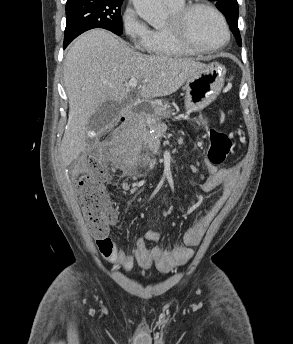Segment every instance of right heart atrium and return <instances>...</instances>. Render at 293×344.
Returning <instances> with one entry per match:
<instances>
[{"label": "right heart atrium", "instance_id": "d8ad5b80", "mask_svg": "<svg viewBox=\"0 0 293 344\" xmlns=\"http://www.w3.org/2000/svg\"><path fill=\"white\" fill-rule=\"evenodd\" d=\"M122 29L126 38L134 49L144 51L147 49L153 30L143 21L136 10L127 6L121 17Z\"/></svg>", "mask_w": 293, "mask_h": 344}]
</instances>
